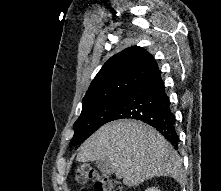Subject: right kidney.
Masks as SVG:
<instances>
[{"mask_svg":"<svg viewBox=\"0 0 221 191\" xmlns=\"http://www.w3.org/2000/svg\"><path fill=\"white\" fill-rule=\"evenodd\" d=\"M145 191H160V189L152 187V188H148Z\"/></svg>","mask_w":221,"mask_h":191,"instance_id":"right-kidney-1","label":"right kidney"}]
</instances>
